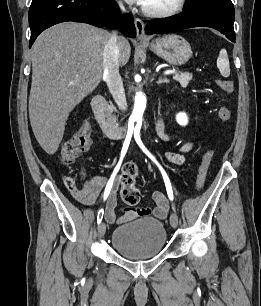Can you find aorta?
Returning <instances> with one entry per match:
<instances>
[{
    "label": "aorta",
    "mask_w": 261,
    "mask_h": 306,
    "mask_svg": "<svg viewBox=\"0 0 261 306\" xmlns=\"http://www.w3.org/2000/svg\"><path fill=\"white\" fill-rule=\"evenodd\" d=\"M146 97L142 93H137L133 101V110L130 117L131 122L141 123L146 109Z\"/></svg>",
    "instance_id": "1"
}]
</instances>
